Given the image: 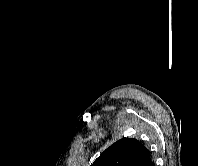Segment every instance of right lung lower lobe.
<instances>
[{"label": "right lung lower lobe", "mask_w": 198, "mask_h": 166, "mask_svg": "<svg viewBox=\"0 0 198 166\" xmlns=\"http://www.w3.org/2000/svg\"><path fill=\"white\" fill-rule=\"evenodd\" d=\"M150 166H155V165H154V163L152 162V163L150 164Z\"/></svg>", "instance_id": "right-lung-lower-lobe-1"}]
</instances>
